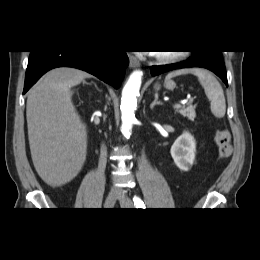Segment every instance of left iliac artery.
<instances>
[{
	"label": "left iliac artery",
	"mask_w": 260,
	"mask_h": 260,
	"mask_svg": "<svg viewBox=\"0 0 260 260\" xmlns=\"http://www.w3.org/2000/svg\"><path fill=\"white\" fill-rule=\"evenodd\" d=\"M133 200H134V204L136 205L137 208H139V209L145 208V204L141 200V198H139L138 196H134Z\"/></svg>",
	"instance_id": "obj_1"
}]
</instances>
